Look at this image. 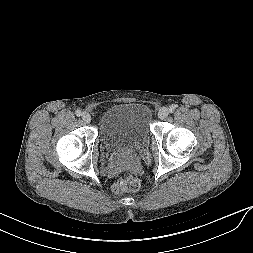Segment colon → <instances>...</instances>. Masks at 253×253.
I'll use <instances>...</instances> for the list:
<instances>
[{"mask_svg": "<svg viewBox=\"0 0 253 253\" xmlns=\"http://www.w3.org/2000/svg\"><path fill=\"white\" fill-rule=\"evenodd\" d=\"M140 187V181L137 177L131 174H126L122 179L118 180L114 186L113 191L115 193H124L128 191H136Z\"/></svg>", "mask_w": 253, "mask_h": 253, "instance_id": "5ec220e1", "label": "colon"}]
</instances>
